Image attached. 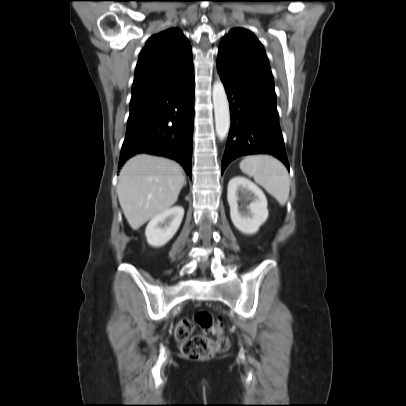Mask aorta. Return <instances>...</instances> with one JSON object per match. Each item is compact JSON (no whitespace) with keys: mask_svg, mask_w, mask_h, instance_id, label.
Wrapping results in <instances>:
<instances>
[{"mask_svg":"<svg viewBox=\"0 0 406 406\" xmlns=\"http://www.w3.org/2000/svg\"><path fill=\"white\" fill-rule=\"evenodd\" d=\"M212 97L216 133L223 140L230 129V110L224 85L219 78L213 84Z\"/></svg>","mask_w":406,"mask_h":406,"instance_id":"1","label":"aorta"}]
</instances>
